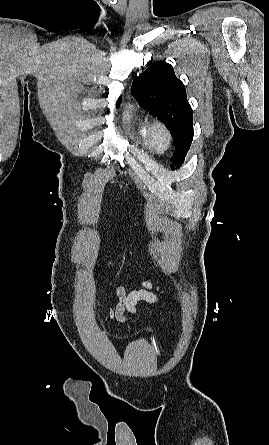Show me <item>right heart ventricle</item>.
<instances>
[{
	"label": "right heart ventricle",
	"instance_id": "obj_1",
	"mask_svg": "<svg viewBox=\"0 0 269 445\" xmlns=\"http://www.w3.org/2000/svg\"><path fill=\"white\" fill-rule=\"evenodd\" d=\"M126 121L133 126L134 132L136 136L141 140V142L150 147V143L148 141L147 131L148 124L144 117L139 114L134 108H129L125 114Z\"/></svg>",
	"mask_w": 269,
	"mask_h": 445
}]
</instances>
